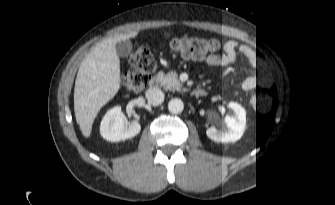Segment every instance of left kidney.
I'll use <instances>...</instances> for the list:
<instances>
[{
    "instance_id": "left-kidney-1",
    "label": "left kidney",
    "mask_w": 335,
    "mask_h": 205,
    "mask_svg": "<svg viewBox=\"0 0 335 205\" xmlns=\"http://www.w3.org/2000/svg\"><path fill=\"white\" fill-rule=\"evenodd\" d=\"M231 114L225 117L228 130L219 131L215 127L207 129V136L216 142H235L239 140L243 134L245 127V110L237 103L228 104Z\"/></svg>"
}]
</instances>
